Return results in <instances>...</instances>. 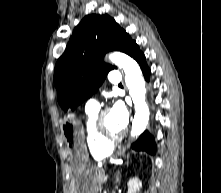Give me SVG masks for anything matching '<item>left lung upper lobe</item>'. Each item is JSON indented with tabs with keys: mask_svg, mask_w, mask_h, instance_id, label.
Here are the masks:
<instances>
[{
	"mask_svg": "<svg viewBox=\"0 0 221 193\" xmlns=\"http://www.w3.org/2000/svg\"><path fill=\"white\" fill-rule=\"evenodd\" d=\"M136 42L108 15H87L75 28L54 71L58 102L67 111L92 96L108 72L116 67L103 62L112 50L126 54Z\"/></svg>",
	"mask_w": 221,
	"mask_h": 193,
	"instance_id": "left-lung-upper-lobe-1",
	"label": "left lung upper lobe"
}]
</instances>
